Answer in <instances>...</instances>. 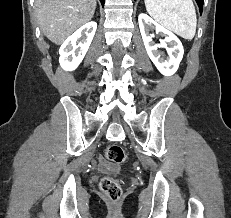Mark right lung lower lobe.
Masks as SVG:
<instances>
[{"mask_svg": "<svg viewBox=\"0 0 231 218\" xmlns=\"http://www.w3.org/2000/svg\"><path fill=\"white\" fill-rule=\"evenodd\" d=\"M104 1H105V0H100L102 6H104Z\"/></svg>", "mask_w": 231, "mask_h": 218, "instance_id": "right-lung-lower-lobe-1", "label": "right lung lower lobe"}]
</instances>
